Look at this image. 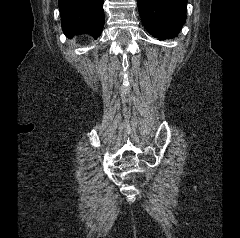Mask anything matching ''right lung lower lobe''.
Here are the masks:
<instances>
[{
	"label": "right lung lower lobe",
	"instance_id": "obj_1",
	"mask_svg": "<svg viewBox=\"0 0 240 238\" xmlns=\"http://www.w3.org/2000/svg\"><path fill=\"white\" fill-rule=\"evenodd\" d=\"M103 0H58L63 32L72 37L79 33L100 36L104 26Z\"/></svg>",
	"mask_w": 240,
	"mask_h": 238
}]
</instances>
